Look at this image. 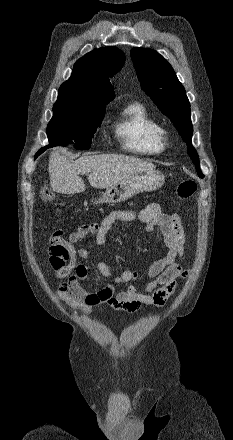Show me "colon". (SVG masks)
Wrapping results in <instances>:
<instances>
[{
  "instance_id": "5ec220e1",
  "label": "colon",
  "mask_w": 233,
  "mask_h": 440,
  "mask_svg": "<svg viewBox=\"0 0 233 440\" xmlns=\"http://www.w3.org/2000/svg\"><path fill=\"white\" fill-rule=\"evenodd\" d=\"M197 190V184L194 180L187 179L179 183L177 187V195L182 199L191 198ZM41 198L45 201H52L54 199L53 193L48 188L41 190Z\"/></svg>"
}]
</instances>
